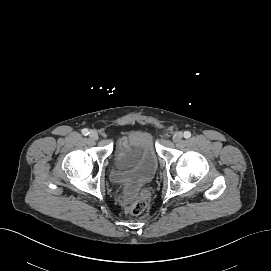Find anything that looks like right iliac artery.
<instances>
[{
  "instance_id": "right-iliac-artery-1",
  "label": "right iliac artery",
  "mask_w": 271,
  "mask_h": 271,
  "mask_svg": "<svg viewBox=\"0 0 271 271\" xmlns=\"http://www.w3.org/2000/svg\"><path fill=\"white\" fill-rule=\"evenodd\" d=\"M82 134L85 135V136H87V135L89 134L88 129L84 128V129L82 130Z\"/></svg>"
}]
</instances>
